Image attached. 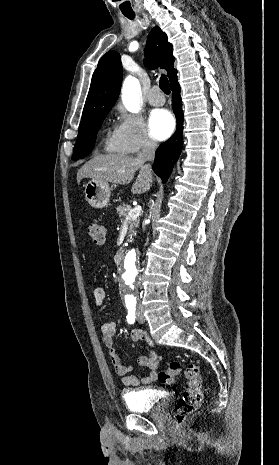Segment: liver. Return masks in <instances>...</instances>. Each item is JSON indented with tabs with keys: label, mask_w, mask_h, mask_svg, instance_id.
<instances>
[{
	"label": "liver",
	"mask_w": 279,
	"mask_h": 465,
	"mask_svg": "<svg viewBox=\"0 0 279 465\" xmlns=\"http://www.w3.org/2000/svg\"><path fill=\"white\" fill-rule=\"evenodd\" d=\"M138 177L132 186L133 194H141L150 190L153 182L151 170L138 157L124 154L96 155L86 162L77 173V182L83 178L96 181L125 185L132 181L135 172Z\"/></svg>",
	"instance_id": "1"
}]
</instances>
